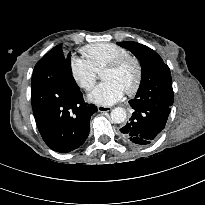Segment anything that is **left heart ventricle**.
<instances>
[{"mask_svg": "<svg viewBox=\"0 0 205 205\" xmlns=\"http://www.w3.org/2000/svg\"><path fill=\"white\" fill-rule=\"evenodd\" d=\"M104 81H115L126 90L134 81L135 67L128 63L119 70H104L101 74Z\"/></svg>", "mask_w": 205, "mask_h": 205, "instance_id": "1", "label": "left heart ventricle"}]
</instances>
